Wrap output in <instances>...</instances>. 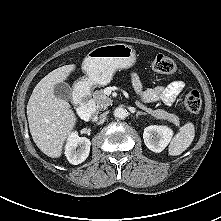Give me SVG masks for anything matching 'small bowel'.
<instances>
[{
    "label": "small bowel",
    "mask_w": 221,
    "mask_h": 221,
    "mask_svg": "<svg viewBox=\"0 0 221 221\" xmlns=\"http://www.w3.org/2000/svg\"><path fill=\"white\" fill-rule=\"evenodd\" d=\"M130 82L142 101L154 102L162 101L170 105L184 88L182 81H173L166 86H157L154 88L143 89L141 81L137 74L130 75Z\"/></svg>",
    "instance_id": "1"
}]
</instances>
